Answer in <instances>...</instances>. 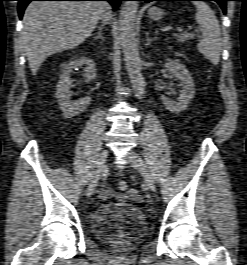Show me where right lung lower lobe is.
I'll return each instance as SVG.
<instances>
[{"label":"right lung lower lobe","mask_w":247,"mask_h":265,"mask_svg":"<svg viewBox=\"0 0 247 265\" xmlns=\"http://www.w3.org/2000/svg\"><path fill=\"white\" fill-rule=\"evenodd\" d=\"M18 1H19L18 13H19V17L21 19L23 16V12H24L25 8L27 7V5L31 1H108L113 6V9L116 10L117 7L119 6L120 2L125 1V0H18Z\"/></svg>","instance_id":"obj_1"}]
</instances>
